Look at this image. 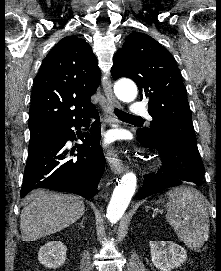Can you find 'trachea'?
<instances>
[{"mask_svg": "<svg viewBox=\"0 0 221 271\" xmlns=\"http://www.w3.org/2000/svg\"><path fill=\"white\" fill-rule=\"evenodd\" d=\"M114 113L122 121L141 118L140 116L131 115L130 113H126L125 111L118 110V108H115Z\"/></svg>", "mask_w": 221, "mask_h": 271, "instance_id": "3493384b", "label": "trachea"}]
</instances>
